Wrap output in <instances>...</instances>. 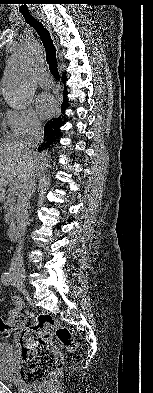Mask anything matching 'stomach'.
<instances>
[{
  "instance_id": "0dacf381",
  "label": "stomach",
  "mask_w": 153,
  "mask_h": 393,
  "mask_svg": "<svg viewBox=\"0 0 153 393\" xmlns=\"http://www.w3.org/2000/svg\"><path fill=\"white\" fill-rule=\"evenodd\" d=\"M2 199V192H0V200Z\"/></svg>"
}]
</instances>
